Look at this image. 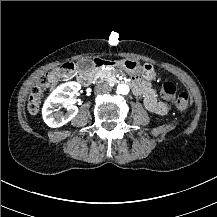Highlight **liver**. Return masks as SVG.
Listing matches in <instances>:
<instances>
[{"mask_svg": "<svg viewBox=\"0 0 217 217\" xmlns=\"http://www.w3.org/2000/svg\"><path fill=\"white\" fill-rule=\"evenodd\" d=\"M61 77V74L59 76V78ZM58 85V81H54V83L51 85L50 87V93H53V91L55 90L56 86Z\"/></svg>", "mask_w": 217, "mask_h": 217, "instance_id": "obj_1", "label": "liver"}]
</instances>
